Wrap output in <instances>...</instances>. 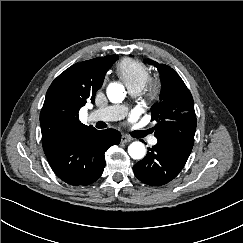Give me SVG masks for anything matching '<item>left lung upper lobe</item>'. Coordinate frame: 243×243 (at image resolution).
<instances>
[{
  "label": "left lung upper lobe",
  "mask_w": 243,
  "mask_h": 243,
  "mask_svg": "<svg viewBox=\"0 0 243 243\" xmlns=\"http://www.w3.org/2000/svg\"><path fill=\"white\" fill-rule=\"evenodd\" d=\"M162 74L163 89L160 101L151 110L159 143L190 155L196 130V115L192 95L180 76L171 67L150 61Z\"/></svg>",
  "instance_id": "1"
}]
</instances>
